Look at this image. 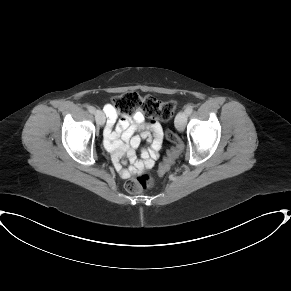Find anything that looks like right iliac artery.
<instances>
[{
  "mask_svg": "<svg viewBox=\"0 0 291 291\" xmlns=\"http://www.w3.org/2000/svg\"><path fill=\"white\" fill-rule=\"evenodd\" d=\"M88 111H89L90 113H95L96 109H95V107H93V106H88Z\"/></svg>",
  "mask_w": 291,
  "mask_h": 291,
  "instance_id": "82829eb1",
  "label": "right iliac artery"
}]
</instances>
